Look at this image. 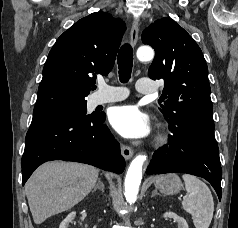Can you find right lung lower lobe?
Returning <instances> with one entry per match:
<instances>
[{
	"label": "right lung lower lobe",
	"instance_id": "obj_1",
	"mask_svg": "<svg viewBox=\"0 0 238 228\" xmlns=\"http://www.w3.org/2000/svg\"><path fill=\"white\" fill-rule=\"evenodd\" d=\"M105 118V113L90 119L74 113L34 116L21 161L23 185L39 165L59 159L122 173L125 160Z\"/></svg>",
	"mask_w": 238,
	"mask_h": 228
}]
</instances>
